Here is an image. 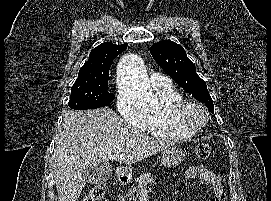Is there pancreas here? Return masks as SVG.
<instances>
[{
    "label": "pancreas",
    "mask_w": 271,
    "mask_h": 201,
    "mask_svg": "<svg viewBox=\"0 0 271 201\" xmlns=\"http://www.w3.org/2000/svg\"><path fill=\"white\" fill-rule=\"evenodd\" d=\"M156 180L150 173L141 174L136 180L135 184L125 194L129 198V201H137L141 190L145 189L149 183H154Z\"/></svg>",
    "instance_id": "1"
}]
</instances>
